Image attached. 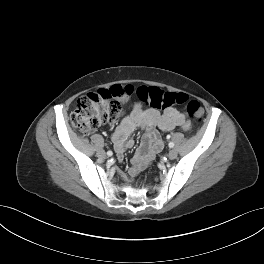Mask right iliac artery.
Returning a JSON list of instances; mask_svg holds the SVG:
<instances>
[{
    "label": "right iliac artery",
    "mask_w": 264,
    "mask_h": 264,
    "mask_svg": "<svg viewBox=\"0 0 264 264\" xmlns=\"http://www.w3.org/2000/svg\"><path fill=\"white\" fill-rule=\"evenodd\" d=\"M107 155H108V156H112V155H113V152H112V151H108V152H107Z\"/></svg>",
    "instance_id": "82829eb1"
}]
</instances>
